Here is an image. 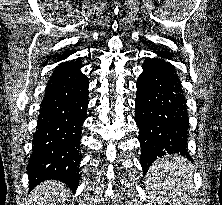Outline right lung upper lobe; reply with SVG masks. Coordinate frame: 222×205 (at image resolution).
Segmentation results:
<instances>
[{
	"label": "right lung upper lobe",
	"instance_id": "obj_1",
	"mask_svg": "<svg viewBox=\"0 0 222 205\" xmlns=\"http://www.w3.org/2000/svg\"><path fill=\"white\" fill-rule=\"evenodd\" d=\"M72 53H74V52H69V53H66L65 55L61 56L59 58V61L63 60V59H66ZM81 67H82V64H81L79 59L71 60V61H68V62L61 63L59 66H57L55 68L53 74L59 73V72H64V71H69V70H75V69H78V68H81Z\"/></svg>",
	"mask_w": 222,
	"mask_h": 205
}]
</instances>
